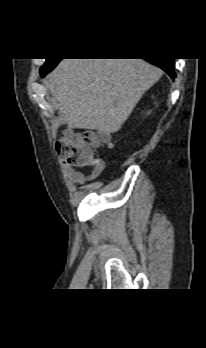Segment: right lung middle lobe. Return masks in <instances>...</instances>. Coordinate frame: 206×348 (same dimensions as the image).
Instances as JSON below:
<instances>
[{"label":"right lung middle lobe","mask_w":206,"mask_h":348,"mask_svg":"<svg viewBox=\"0 0 206 348\" xmlns=\"http://www.w3.org/2000/svg\"><path fill=\"white\" fill-rule=\"evenodd\" d=\"M57 60H60V59H46V62L45 64L41 67L40 71L41 70H45L51 66H55L56 64H58V61Z\"/></svg>","instance_id":"obj_1"}]
</instances>
